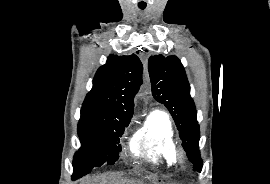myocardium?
I'll return each mask as SVG.
<instances>
[{"mask_svg":"<svg viewBox=\"0 0 270 184\" xmlns=\"http://www.w3.org/2000/svg\"><path fill=\"white\" fill-rule=\"evenodd\" d=\"M184 159H185V155H184L183 151L177 150V152H176V160L178 162H183Z\"/></svg>","mask_w":270,"mask_h":184,"instance_id":"myocardium-1","label":"myocardium"}]
</instances>
